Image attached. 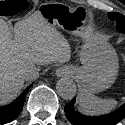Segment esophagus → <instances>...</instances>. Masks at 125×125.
<instances>
[{
    "mask_svg": "<svg viewBox=\"0 0 125 125\" xmlns=\"http://www.w3.org/2000/svg\"><path fill=\"white\" fill-rule=\"evenodd\" d=\"M73 70L71 67L68 66H63V67H59L56 70V76L57 77H65V76H70L72 74Z\"/></svg>",
    "mask_w": 125,
    "mask_h": 125,
    "instance_id": "esophagus-1",
    "label": "esophagus"
}]
</instances>
